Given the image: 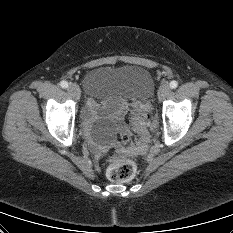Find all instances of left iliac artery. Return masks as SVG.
I'll return each mask as SVG.
<instances>
[{
    "label": "left iliac artery",
    "instance_id": "left-iliac-artery-1",
    "mask_svg": "<svg viewBox=\"0 0 233 233\" xmlns=\"http://www.w3.org/2000/svg\"><path fill=\"white\" fill-rule=\"evenodd\" d=\"M177 86H178V82L177 81L173 80V81L170 82V88L171 89H175V88H177Z\"/></svg>",
    "mask_w": 233,
    "mask_h": 233
}]
</instances>
